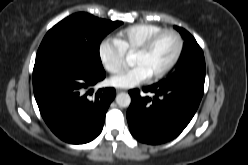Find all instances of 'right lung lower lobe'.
<instances>
[{
	"instance_id": "obj_1",
	"label": "right lung lower lobe",
	"mask_w": 248,
	"mask_h": 165,
	"mask_svg": "<svg viewBox=\"0 0 248 165\" xmlns=\"http://www.w3.org/2000/svg\"><path fill=\"white\" fill-rule=\"evenodd\" d=\"M73 53L59 54L35 62L33 90L40 113L61 140L83 144L102 131L105 115L116 96L114 88L91 86L105 78Z\"/></svg>"
}]
</instances>
